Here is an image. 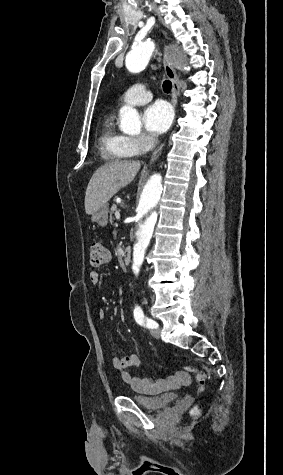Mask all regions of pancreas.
Here are the masks:
<instances>
[{
    "instance_id": "cf45deb5",
    "label": "pancreas",
    "mask_w": 283,
    "mask_h": 475,
    "mask_svg": "<svg viewBox=\"0 0 283 475\" xmlns=\"http://www.w3.org/2000/svg\"><path fill=\"white\" fill-rule=\"evenodd\" d=\"M113 212H117L116 206H112V214ZM113 218H110V222H112Z\"/></svg>"
}]
</instances>
